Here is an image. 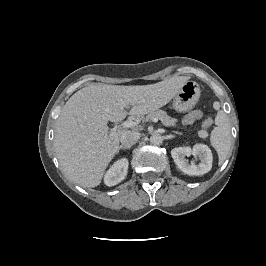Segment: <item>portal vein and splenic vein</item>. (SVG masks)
Listing matches in <instances>:
<instances>
[{
  "label": "portal vein and splenic vein",
  "instance_id": "18ae733b",
  "mask_svg": "<svg viewBox=\"0 0 266 266\" xmlns=\"http://www.w3.org/2000/svg\"><path fill=\"white\" fill-rule=\"evenodd\" d=\"M152 121L153 122H158V119L157 118H153ZM136 125H138V123L136 121L127 120V121H124L121 124V128H132V127H135Z\"/></svg>",
  "mask_w": 266,
  "mask_h": 266
}]
</instances>
